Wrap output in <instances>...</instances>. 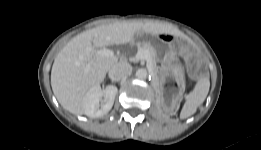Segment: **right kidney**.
<instances>
[{
    "instance_id": "obj_1",
    "label": "right kidney",
    "mask_w": 261,
    "mask_h": 150,
    "mask_svg": "<svg viewBox=\"0 0 261 150\" xmlns=\"http://www.w3.org/2000/svg\"><path fill=\"white\" fill-rule=\"evenodd\" d=\"M117 92V87L113 85L103 90L100 86L93 88L87 97L85 114L91 118H100L107 114L114 104Z\"/></svg>"
}]
</instances>
